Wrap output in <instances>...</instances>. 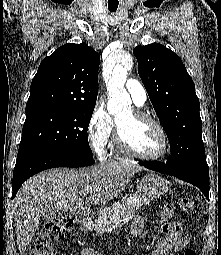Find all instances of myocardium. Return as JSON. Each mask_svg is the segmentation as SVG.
<instances>
[{
	"label": "myocardium",
	"mask_w": 221,
	"mask_h": 255,
	"mask_svg": "<svg viewBox=\"0 0 221 255\" xmlns=\"http://www.w3.org/2000/svg\"><path fill=\"white\" fill-rule=\"evenodd\" d=\"M132 114L136 120L141 121V122H149L157 128V130L159 131V133L161 135L162 142H163L162 150L159 154L153 155V156H148V155L139 153L131 146V144L128 142L126 137L122 134V132L120 131V129L117 125V127H116V143H117L118 148L123 153H125L129 156H132L134 158L144 160V161H160V160L164 159L167 156V154L169 152V147H170L168 135H167L164 127L161 125V123L156 118H154L152 115H150L144 111H141L138 109H133Z\"/></svg>",
	"instance_id": "obj_1"
}]
</instances>
